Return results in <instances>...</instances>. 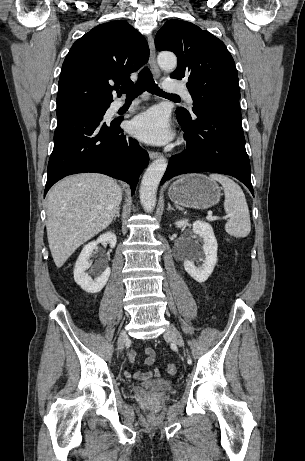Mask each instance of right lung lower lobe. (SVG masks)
<instances>
[{
    "mask_svg": "<svg viewBox=\"0 0 305 461\" xmlns=\"http://www.w3.org/2000/svg\"><path fill=\"white\" fill-rule=\"evenodd\" d=\"M103 113L57 112L54 148L48 163L44 196L65 176L96 172L123 180L135 191L149 155L120 129L122 119L104 122Z\"/></svg>",
    "mask_w": 305,
    "mask_h": 461,
    "instance_id": "1",
    "label": "right lung lower lobe"
}]
</instances>
